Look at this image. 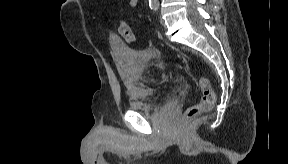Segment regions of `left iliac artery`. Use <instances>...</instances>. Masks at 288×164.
Masks as SVG:
<instances>
[{"label":"left iliac artery","instance_id":"1","mask_svg":"<svg viewBox=\"0 0 288 164\" xmlns=\"http://www.w3.org/2000/svg\"><path fill=\"white\" fill-rule=\"evenodd\" d=\"M148 2L151 9L156 11L159 8L158 0H148Z\"/></svg>","mask_w":288,"mask_h":164}]
</instances>
